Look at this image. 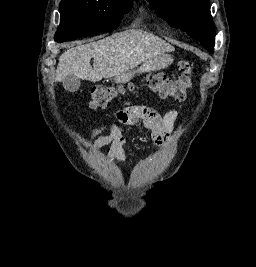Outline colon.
Wrapping results in <instances>:
<instances>
[{"label": "colon", "mask_w": 256, "mask_h": 267, "mask_svg": "<svg viewBox=\"0 0 256 267\" xmlns=\"http://www.w3.org/2000/svg\"><path fill=\"white\" fill-rule=\"evenodd\" d=\"M178 68L180 75L176 81L156 72L146 75V85L162 97H170L179 102L184 101L187 91L193 86V77L197 72V68L191 61L180 62ZM126 87L129 91L134 90L133 83L127 85L109 83L96 86L90 93V108L93 110L104 109L110 102L122 95Z\"/></svg>", "instance_id": "1"}]
</instances>
